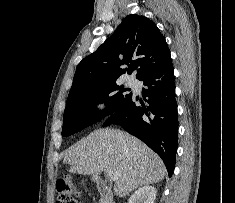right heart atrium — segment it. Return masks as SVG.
I'll return each instance as SVG.
<instances>
[{"label": "right heart atrium", "mask_w": 235, "mask_h": 203, "mask_svg": "<svg viewBox=\"0 0 235 203\" xmlns=\"http://www.w3.org/2000/svg\"><path fill=\"white\" fill-rule=\"evenodd\" d=\"M102 107H103L102 104H97V105H96V109H101Z\"/></svg>", "instance_id": "right-heart-atrium-1"}]
</instances>
